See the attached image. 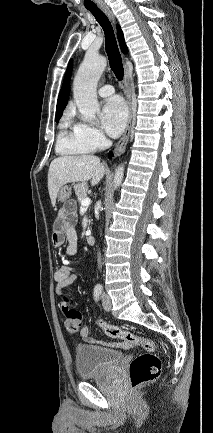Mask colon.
<instances>
[{
  "mask_svg": "<svg viewBox=\"0 0 213 433\" xmlns=\"http://www.w3.org/2000/svg\"><path fill=\"white\" fill-rule=\"evenodd\" d=\"M96 325L108 337L121 339L129 345L140 346L145 353L132 360L129 366V380L132 388H138L158 378L161 371V360L154 351L158 344L150 338L139 337L121 327L98 320ZM63 326L71 336H76L82 329L83 320L79 311L72 310L64 315Z\"/></svg>",
  "mask_w": 213,
  "mask_h": 433,
  "instance_id": "5ec220e1",
  "label": "colon"
}]
</instances>
